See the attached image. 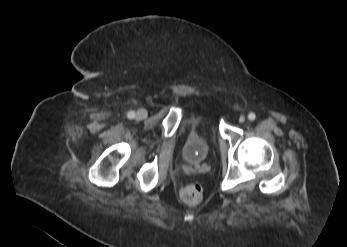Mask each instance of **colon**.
Segmentation results:
<instances>
[{
	"instance_id": "obj_1",
	"label": "colon",
	"mask_w": 347,
	"mask_h": 247,
	"mask_svg": "<svg viewBox=\"0 0 347 247\" xmlns=\"http://www.w3.org/2000/svg\"><path fill=\"white\" fill-rule=\"evenodd\" d=\"M181 197L188 204H198L203 198V188L199 183H190L181 190Z\"/></svg>"
}]
</instances>
